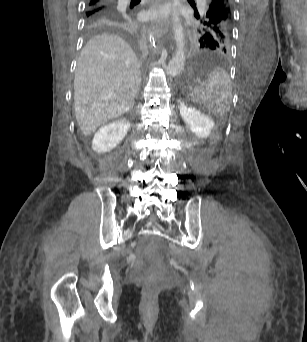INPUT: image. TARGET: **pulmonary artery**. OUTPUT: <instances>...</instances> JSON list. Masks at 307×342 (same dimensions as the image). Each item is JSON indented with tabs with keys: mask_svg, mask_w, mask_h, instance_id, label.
<instances>
[{
	"mask_svg": "<svg viewBox=\"0 0 307 342\" xmlns=\"http://www.w3.org/2000/svg\"><path fill=\"white\" fill-rule=\"evenodd\" d=\"M121 2H122L121 9L122 11H125L127 1H121Z\"/></svg>",
	"mask_w": 307,
	"mask_h": 342,
	"instance_id": "e3ab8cb5",
	"label": "pulmonary artery"
}]
</instances>
